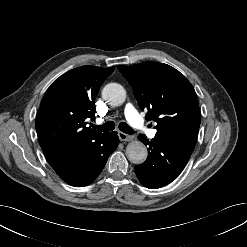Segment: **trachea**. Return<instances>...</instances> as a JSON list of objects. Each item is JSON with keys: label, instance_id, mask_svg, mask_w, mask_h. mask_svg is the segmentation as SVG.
Returning a JSON list of instances; mask_svg holds the SVG:
<instances>
[{"label": "trachea", "instance_id": "obj_1", "mask_svg": "<svg viewBox=\"0 0 247 247\" xmlns=\"http://www.w3.org/2000/svg\"><path fill=\"white\" fill-rule=\"evenodd\" d=\"M93 127L94 129H97L99 131L108 132V131H112L115 129V123L113 121H108L101 126L93 125ZM118 127L123 133H126V134L134 133L133 129L125 122H121Z\"/></svg>", "mask_w": 247, "mask_h": 247}]
</instances>
